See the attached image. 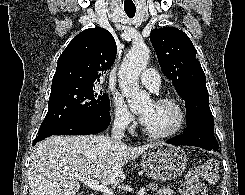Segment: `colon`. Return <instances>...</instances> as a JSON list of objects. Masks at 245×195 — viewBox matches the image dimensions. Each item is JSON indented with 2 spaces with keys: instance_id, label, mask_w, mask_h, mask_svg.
Listing matches in <instances>:
<instances>
[{
  "instance_id": "colon-1",
  "label": "colon",
  "mask_w": 245,
  "mask_h": 195,
  "mask_svg": "<svg viewBox=\"0 0 245 195\" xmlns=\"http://www.w3.org/2000/svg\"><path fill=\"white\" fill-rule=\"evenodd\" d=\"M218 181V163L214 159L205 161L189 172L181 188L182 195H205L203 182L215 184Z\"/></svg>"
}]
</instances>
